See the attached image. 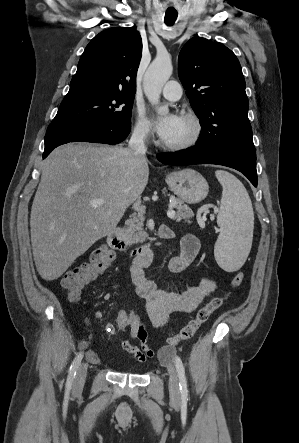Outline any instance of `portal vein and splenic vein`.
Segmentation results:
<instances>
[{
  "mask_svg": "<svg viewBox=\"0 0 299 443\" xmlns=\"http://www.w3.org/2000/svg\"><path fill=\"white\" fill-rule=\"evenodd\" d=\"M103 203H104V200L100 198V199L92 200L90 202V205L93 207H98V206H101ZM206 207L207 206H205V208ZM167 216L171 219H173L175 217V212L172 210V208H169V210L167 211Z\"/></svg>",
  "mask_w": 299,
  "mask_h": 443,
  "instance_id": "portal-vein-and-splenic-vein-1",
  "label": "portal vein and splenic vein"
}]
</instances>
